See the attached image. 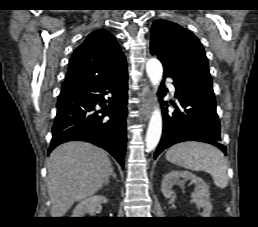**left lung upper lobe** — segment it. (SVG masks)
Instances as JSON below:
<instances>
[{
    "label": "left lung upper lobe",
    "instance_id": "1",
    "mask_svg": "<svg viewBox=\"0 0 258 227\" xmlns=\"http://www.w3.org/2000/svg\"><path fill=\"white\" fill-rule=\"evenodd\" d=\"M150 50L164 74L212 86L208 61L199 39L180 25L157 20L152 25Z\"/></svg>",
    "mask_w": 258,
    "mask_h": 227
}]
</instances>
